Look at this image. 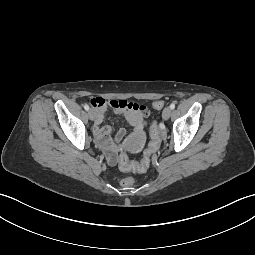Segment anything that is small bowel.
<instances>
[{"label": "small bowel", "mask_w": 255, "mask_h": 255, "mask_svg": "<svg viewBox=\"0 0 255 255\" xmlns=\"http://www.w3.org/2000/svg\"><path fill=\"white\" fill-rule=\"evenodd\" d=\"M94 108L95 118L93 133L98 144L106 152L109 164L117 162V150L120 146L137 148L140 146L143 137L144 119L148 116V109L144 105L126 100H107L102 97H94L90 100ZM108 110L123 115L132 127L133 133L129 138H125V129H119L115 139L110 138L111 128L102 126L104 116Z\"/></svg>", "instance_id": "obj_1"}]
</instances>
